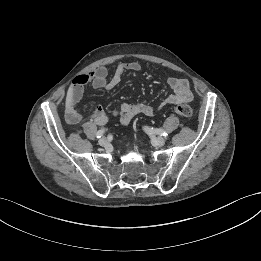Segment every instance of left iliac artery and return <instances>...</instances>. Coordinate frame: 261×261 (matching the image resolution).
Returning a JSON list of instances; mask_svg holds the SVG:
<instances>
[{
	"label": "left iliac artery",
	"mask_w": 261,
	"mask_h": 261,
	"mask_svg": "<svg viewBox=\"0 0 261 261\" xmlns=\"http://www.w3.org/2000/svg\"><path fill=\"white\" fill-rule=\"evenodd\" d=\"M145 129V131L148 133V134H159V135H161V136H167L168 134L166 133V131H164L163 129H161V128H156V129H154V128H149V127H145L144 128Z\"/></svg>",
	"instance_id": "1"
}]
</instances>
